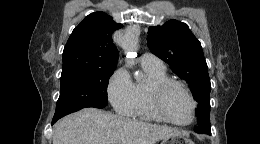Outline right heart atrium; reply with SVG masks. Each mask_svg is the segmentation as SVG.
<instances>
[{
	"label": "right heart atrium",
	"mask_w": 260,
	"mask_h": 144,
	"mask_svg": "<svg viewBox=\"0 0 260 144\" xmlns=\"http://www.w3.org/2000/svg\"><path fill=\"white\" fill-rule=\"evenodd\" d=\"M107 97L116 112H128L133 100V83L124 68L117 69L110 77Z\"/></svg>",
	"instance_id": "1"
}]
</instances>
